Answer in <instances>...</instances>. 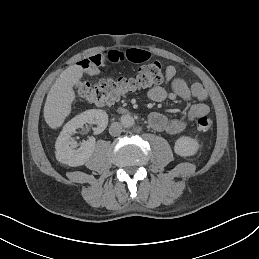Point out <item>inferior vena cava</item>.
I'll use <instances>...</instances> for the list:
<instances>
[{"mask_svg":"<svg viewBox=\"0 0 259 259\" xmlns=\"http://www.w3.org/2000/svg\"><path fill=\"white\" fill-rule=\"evenodd\" d=\"M122 132V126L118 122H114L109 127V133L112 136H119Z\"/></svg>","mask_w":259,"mask_h":259,"instance_id":"1","label":"inferior vena cava"}]
</instances>
